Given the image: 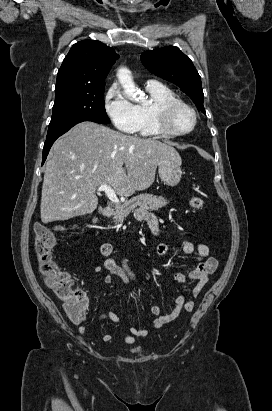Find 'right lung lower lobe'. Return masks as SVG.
Returning <instances> with one entry per match:
<instances>
[{
	"mask_svg": "<svg viewBox=\"0 0 272 411\" xmlns=\"http://www.w3.org/2000/svg\"><path fill=\"white\" fill-rule=\"evenodd\" d=\"M75 125V124H74ZM74 125L68 127L67 129H65L63 132L58 133L56 135H52V136H48L46 137V141L44 143V148H43V159H42V165L44 164L46 157L49 153V150L52 146V144L54 143V141L61 136L62 134H64L65 132H67L70 128H72Z\"/></svg>",
	"mask_w": 272,
	"mask_h": 411,
	"instance_id": "98d812e1",
	"label": "right lung lower lobe"
}]
</instances>
